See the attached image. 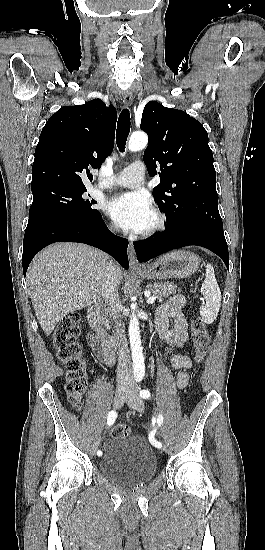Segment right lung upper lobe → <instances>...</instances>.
I'll return each instance as SVG.
<instances>
[{
  "instance_id": "cb5924a9",
  "label": "right lung upper lobe",
  "mask_w": 265,
  "mask_h": 550,
  "mask_svg": "<svg viewBox=\"0 0 265 550\" xmlns=\"http://www.w3.org/2000/svg\"><path fill=\"white\" fill-rule=\"evenodd\" d=\"M116 118L115 107L100 99L65 106L53 114L35 149L31 189H86L93 178L88 167H100L113 150Z\"/></svg>"
}]
</instances>
